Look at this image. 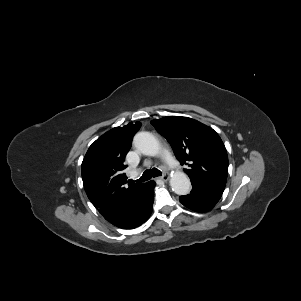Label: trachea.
I'll use <instances>...</instances> for the list:
<instances>
[{
    "label": "trachea",
    "mask_w": 301,
    "mask_h": 301,
    "mask_svg": "<svg viewBox=\"0 0 301 301\" xmlns=\"http://www.w3.org/2000/svg\"><path fill=\"white\" fill-rule=\"evenodd\" d=\"M162 175V172L153 168V169H149V170H146L143 175L138 179L136 180V182H145V181H148L150 180L152 177H158V176H161Z\"/></svg>",
    "instance_id": "trachea-1"
}]
</instances>
